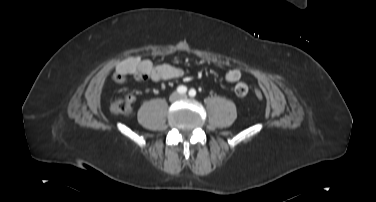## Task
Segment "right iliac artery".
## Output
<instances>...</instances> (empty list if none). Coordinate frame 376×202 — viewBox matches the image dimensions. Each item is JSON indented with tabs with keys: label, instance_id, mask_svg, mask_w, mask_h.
Here are the masks:
<instances>
[{
	"label": "right iliac artery",
	"instance_id": "right-iliac-artery-1",
	"mask_svg": "<svg viewBox=\"0 0 376 202\" xmlns=\"http://www.w3.org/2000/svg\"><path fill=\"white\" fill-rule=\"evenodd\" d=\"M177 92H178L179 94H185V93L187 92V87L181 85V86H179V87L177 88Z\"/></svg>",
	"mask_w": 376,
	"mask_h": 202
}]
</instances>
